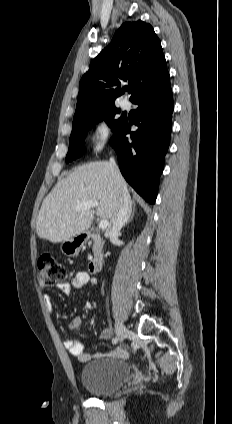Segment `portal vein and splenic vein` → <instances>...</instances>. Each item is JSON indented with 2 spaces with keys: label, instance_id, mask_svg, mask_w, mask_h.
Returning a JSON list of instances; mask_svg holds the SVG:
<instances>
[{
  "label": "portal vein and splenic vein",
  "instance_id": "obj_1",
  "mask_svg": "<svg viewBox=\"0 0 232 424\" xmlns=\"http://www.w3.org/2000/svg\"><path fill=\"white\" fill-rule=\"evenodd\" d=\"M99 205V202L97 200H91L87 202L80 203L76 206V211H83L86 209H90L93 207H97ZM109 226L108 220H101L98 224V227L101 229H106Z\"/></svg>",
  "mask_w": 232,
  "mask_h": 424
}]
</instances>
